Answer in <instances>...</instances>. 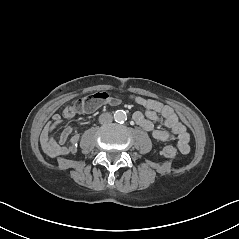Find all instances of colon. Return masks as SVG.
<instances>
[{
	"instance_id": "colon-1",
	"label": "colon",
	"mask_w": 239,
	"mask_h": 239,
	"mask_svg": "<svg viewBox=\"0 0 239 239\" xmlns=\"http://www.w3.org/2000/svg\"><path fill=\"white\" fill-rule=\"evenodd\" d=\"M117 98L109 95L106 92H96L91 95L84 97L77 105L69 106V114L75 115V113L82 109H93L105 104H116ZM163 153L168 158L176 157V150L172 146H166L163 149Z\"/></svg>"
}]
</instances>
